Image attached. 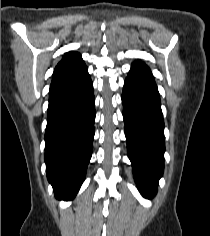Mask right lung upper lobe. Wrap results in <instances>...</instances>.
<instances>
[{"mask_svg": "<svg viewBox=\"0 0 210 236\" xmlns=\"http://www.w3.org/2000/svg\"><path fill=\"white\" fill-rule=\"evenodd\" d=\"M82 63L84 62L79 53L77 52L66 53L63 56L62 60L56 66L53 75L74 68Z\"/></svg>", "mask_w": 210, "mask_h": 236, "instance_id": "obj_1", "label": "right lung upper lobe"}]
</instances>
